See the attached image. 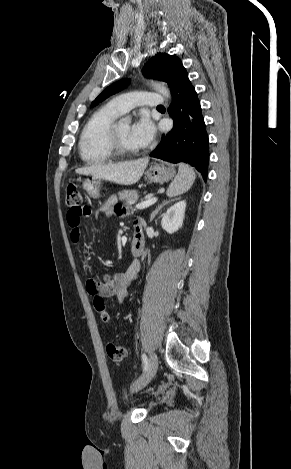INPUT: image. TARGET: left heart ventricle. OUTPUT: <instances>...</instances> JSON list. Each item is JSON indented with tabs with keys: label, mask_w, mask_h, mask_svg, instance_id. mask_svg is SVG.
<instances>
[{
	"label": "left heart ventricle",
	"mask_w": 291,
	"mask_h": 469,
	"mask_svg": "<svg viewBox=\"0 0 291 469\" xmlns=\"http://www.w3.org/2000/svg\"><path fill=\"white\" fill-rule=\"evenodd\" d=\"M130 131L131 126L128 123L118 124V135L123 146L128 149H139V147L133 142Z\"/></svg>",
	"instance_id": "left-heart-ventricle-1"
}]
</instances>
